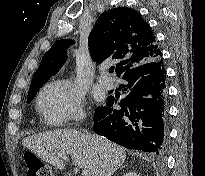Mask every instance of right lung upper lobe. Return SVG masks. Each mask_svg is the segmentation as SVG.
I'll return each instance as SVG.
<instances>
[{"label": "right lung upper lobe", "mask_w": 205, "mask_h": 176, "mask_svg": "<svg viewBox=\"0 0 205 176\" xmlns=\"http://www.w3.org/2000/svg\"><path fill=\"white\" fill-rule=\"evenodd\" d=\"M71 40H59L43 56L33 76L29 91L40 88L55 75L66 60ZM94 61L109 59L117 62L116 73L126 71L149 60L162 59L155 36L141 15L130 8L108 10L97 19L88 39Z\"/></svg>", "instance_id": "cb5924a9"}]
</instances>
